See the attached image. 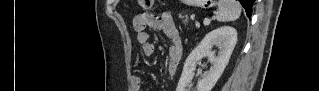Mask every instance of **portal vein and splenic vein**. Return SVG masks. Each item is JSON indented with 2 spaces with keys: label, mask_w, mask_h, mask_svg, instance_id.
I'll return each mask as SVG.
<instances>
[{
  "label": "portal vein and splenic vein",
  "mask_w": 319,
  "mask_h": 91,
  "mask_svg": "<svg viewBox=\"0 0 319 91\" xmlns=\"http://www.w3.org/2000/svg\"><path fill=\"white\" fill-rule=\"evenodd\" d=\"M209 23H210L209 20H205V21H204V24H205V25H208Z\"/></svg>",
  "instance_id": "portal-vein-and-splenic-vein-1"
}]
</instances>
